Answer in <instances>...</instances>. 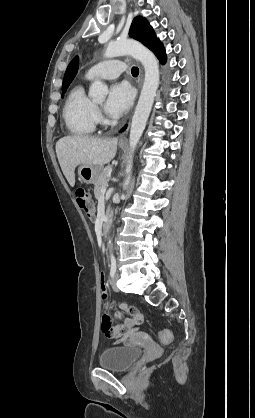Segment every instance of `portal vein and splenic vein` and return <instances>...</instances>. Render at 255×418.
I'll list each match as a JSON object with an SVG mask.
<instances>
[{
    "mask_svg": "<svg viewBox=\"0 0 255 418\" xmlns=\"http://www.w3.org/2000/svg\"><path fill=\"white\" fill-rule=\"evenodd\" d=\"M105 192H106V187H102V189H101V193H102V194H105Z\"/></svg>",
    "mask_w": 255,
    "mask_h": 418,
    "instance_id": "18ae733b",
    "label": "portal vein and splenic vein"
}]
</instances>
